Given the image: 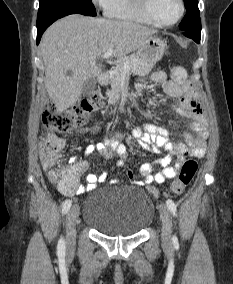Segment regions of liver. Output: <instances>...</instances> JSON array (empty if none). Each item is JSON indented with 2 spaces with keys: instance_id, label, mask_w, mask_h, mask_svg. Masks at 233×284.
<instances>
[{
  "instance_id": "obj_1",
  "label": "liver",
  "mask_w": 233,
  "mask_h": 284,
  "mask_svg": "<svg viewBox=\"0 0 233 284\" xmlns=\"http://www.w3.org/2000/svg\"><path fill=\"white\" fill-rule=\"evenodd\" d=\"M156 30L104 18L69 15L53 23L40 43L45 65L46 90L58 112L79 99L86 79L101 73L97 58L113 47V56L123 58L138 50ZM71 71V75L67 72Z\"/></svg>"
}]
</instances>
